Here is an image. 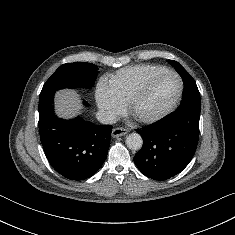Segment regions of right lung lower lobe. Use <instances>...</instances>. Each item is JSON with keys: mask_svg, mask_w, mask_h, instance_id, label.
Returning <instances> with one entry per match:
<instances>
[{"mask_svg": "<svg viewBox=\"0 0 235 235\" xmlns=\"http://www.w3.org/2000/svg\"><path fill=\"white\" fill-rule=\"evenodd\" d=\"M54 93L39 98V133L51 166L71 180L94 175L107 157L112 126L55 116ZM84 105H88L84 101Z\"/></svg>", "mask_w": 235, "mask_h": 235, "instance_id": "98d812e1", "label": "right lung lower lobe"}]
</instances>
